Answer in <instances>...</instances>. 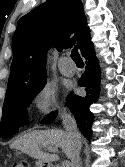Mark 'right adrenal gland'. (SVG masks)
<instances>
[{
    "instance_id": "1",
    "label": "right adrenal gland",
    "mask_w": 125,
    "mask_h": 167,
    "mask_svg": "<svg viewBox=\"0 0 125 167\" xmlns=\"http://www.w3.org/2000/svg\"><path fill=\"white\" fill-rule=\"evenodd\" d=\"M80 167H82V162H81V160H80Z\"/></svg>"
}]
</instances>
